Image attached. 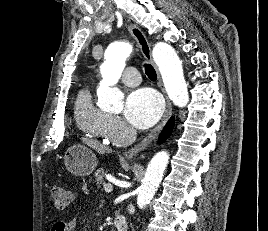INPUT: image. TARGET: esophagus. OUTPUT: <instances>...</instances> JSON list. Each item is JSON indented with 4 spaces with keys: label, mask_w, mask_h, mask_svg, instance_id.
I'll use <instances>...</instances> for the list:
<instances>
[{
    "label": "esophagus",
    "mask_w": 268,
    "mask_h": 231,
    "mask_svg": "<svg viewBox=\"0 0 268 231\" xmlns=\"http://www.w3.org/2000/svg\"><path fill=\"white\" fill-rule=\"evenodd\" d=\"M127 28L129 30L130 34L135 38L137 45L141 49L144 57L152 64V66L156 70L157 77H158V85H159L161 91L163 92V94L165 95V100H166L165 112H164L163 117L161 118L159 124L140 143H138L137 145L133 146L132 148H130L129 150H127L125 152L126 159H133L137 155H139L141 152L146 150L151 145V143L155 139H157V137L159 136V134L163 130L164 126L166 125V123L168 122V120L171 117L172 104H171V101L165 92L158 68H157V66L152 58L150 44L148 43L146 36L135 24H130L127 26Z\"/></svg>",
    "instance_id": "obj_1"
}]
</instances>
